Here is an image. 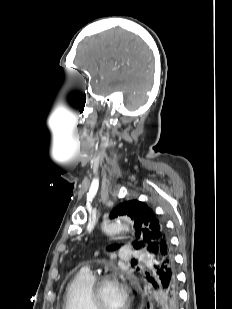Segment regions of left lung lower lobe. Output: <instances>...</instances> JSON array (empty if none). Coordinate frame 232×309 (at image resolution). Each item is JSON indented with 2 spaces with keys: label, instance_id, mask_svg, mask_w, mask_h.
Wrapping results in <instances>:
<instances>
[{
  "label": "left lung lower lobe",
  "instance_id": "obj_1",
  "mask_svg": "<svg viewBox=\"0 0 232 309\" xmlns=\"http://www.w3.org/2000/svg\"><path fill=\"white\" fill-rule=\"evenodd\" d=\"M147 281L160 294L165 309H177L178 292L176 266L170 241H161L157 254L152 258L151 275Z\"/></svg>",
  "mask_w": 232,
  "mask_h": 309
}]
</instances>
